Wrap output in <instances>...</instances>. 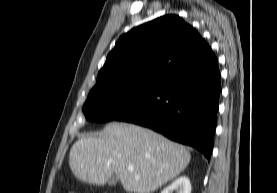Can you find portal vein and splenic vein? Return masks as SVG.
I'll list each match as a JSON object with an SVG mask.
<instances>
[{
    "instance_id": "obj_1",
    "label": "portal vein and splenic vein",
    "mask_w": 277,
    "mask_h": 193,
    "mask_svg": "<svg viewBox=\"0 0 277 193\" xmlns=\"http://www.w3.org/2000/svg\"><path fill=\"white\" fill-rule=\"evenodd\" d=\"M128 170H129V171H133V170H134V167H133V166H128Z\"/></svg>"
}]
</instances>
